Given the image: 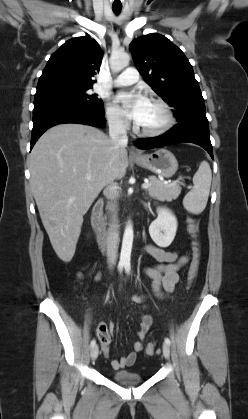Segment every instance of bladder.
<instances>
[{
	"instance_id": "31cf9c89",
	"label": "bladder",
	"mask_w": 248,
	"mask_h": 419,
	"mask_svg": "<svg viewBox=\"0 0 248 419\" xmlns=\"http://www.w3.org/2000/svg\"><path fill=\"white\" fill-rule=\"evenodd\" d=\"M114 382L123 386H135L143 382V376L132 371H115L111 374Z\"/></svg>"
}]
</instances>
